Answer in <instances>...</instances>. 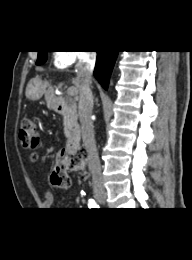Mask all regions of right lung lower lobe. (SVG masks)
Instances as JSON below:
<instances>
[{
    "label": "right lung lower lobe",
    "mask_w": 192,
    "mask_h": 260,
    "mask_svg": "<svg viewBox=\"0 0 192 260\" xmlns=\"http://www.w3.org/2000/svg\"><path fill=\"white\" fill-rule=\"evenodd\" d=\"M118 51H97L94 76L107 89Z\"/></svg>",
    "instance_id": "obj_1"
}]
</instances>
